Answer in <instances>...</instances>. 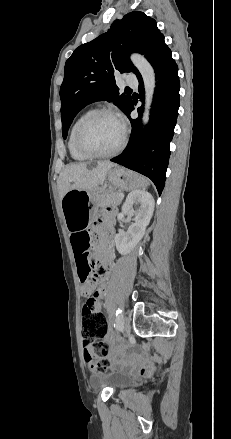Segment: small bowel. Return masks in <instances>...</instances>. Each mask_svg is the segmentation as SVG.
Returning a JSON list of instances; mask_svg holds the SVG:
<instances>
[{"label": "small bowel", "mask_w": 231, "mask_h": 439, "mask_svg": "<svg viewBox=\"0 0 231 439\" xmlns=\"http://www.w3.org/2000/svg\"><path fill=\"white\" fill-rule=\"evenodd\" d=\"M109 216V214H107ZM109 233L112 235L113 231L109 228ZM99 240L97 242L96 252L92 255L91 260V241L90 235L85 230H77L71 233L70 243L72 252L74 255L78 275L82 267H86L88 264L95 266L97 273V285L94 286L93 290L88 293L83 287V292L85 294H90V298L84 304L87 305L91 310L99 312L101 310V299L105 291L106 281L108 279V268L103 271L102 266L108 265L113 259V248L109 243L108 239L104 236L99 235ZM83 306V307H84ZM90 352V349H85L84 353ZM148 366L143 367V371H146Z\"/></svg>", "instance_id": "obj_1"}]
</instances>
